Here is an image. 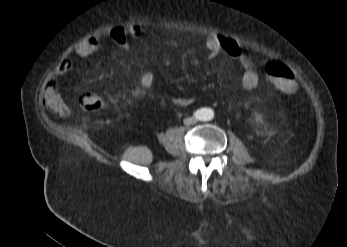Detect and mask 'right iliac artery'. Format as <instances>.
I'll return each mask as SVG.
<instances>
[{
    "mask_svg": "<svg viewBox=\"0 0 347 247\" xmlns=\"http://www.w3.org/2000/svg\"><path fill=\"white\" fill-rule=\"evenodd\" d=\"M194 116L197 118L198 117V112L194 113Z\"/></svg>",
    "mask_w": 347,
    "mask_h": 247,
    "instance_id": "right-iliac-artery-1",
    "label": "right iliac artery"
}]
</instances>
